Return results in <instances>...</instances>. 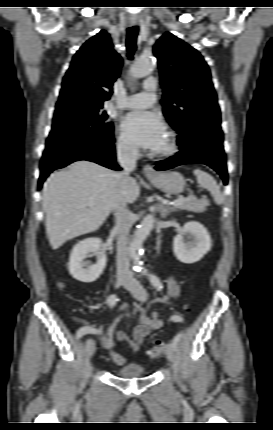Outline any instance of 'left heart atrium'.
Listing matches in <instances>:
<instances>
[{"label": "left heart atrium", "instance_id": "39dd6f15", "mask_svg": "<svg viewBox=\"0 0 273 430\" xmlns=\"http://www.w3.org/2000/svg\"><path fill=\"white\" fill-rule=\"evenodd\" d=\"M127 139L136 146L158 151L167 136L162 119L153 112H132L122 122Z\"/></svg>", "mask_w": 273, "mask_h": 430}]
</instances>
